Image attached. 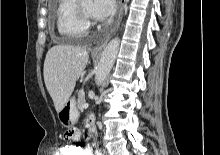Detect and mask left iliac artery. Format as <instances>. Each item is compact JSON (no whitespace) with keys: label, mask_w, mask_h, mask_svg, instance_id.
Instances as JSON below:
<instances>
[{"label":"left iliac artery","mask_w":220,"mask_h":155,"mask_svg":"<svg viewBox=\"0 0 220 155\" xmlns=\"http://www.w3.org/2000/svg\"><path fill=\"white\" fill-rule=\"evenodd\" d=\"M97 155H103L101 152H98Z\"/></svg>","instance_id":"obj_1"}]
</instances>
